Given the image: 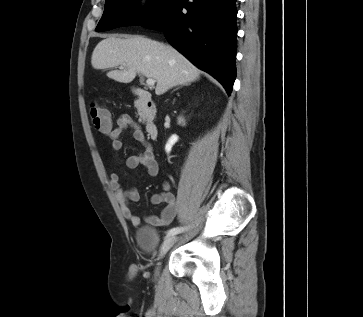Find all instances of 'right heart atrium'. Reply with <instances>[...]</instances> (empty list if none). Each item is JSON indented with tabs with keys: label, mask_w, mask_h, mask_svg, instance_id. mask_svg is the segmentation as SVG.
I'll use <instances>...</instances> for the list:
<instances>
[{
	"label": "right heart atrium",
	"mask_w": 363,
	"mask_h": 317,
	"mask_svg": "<svg viewBox=\"0 0 363 317\" xmlns=\"http://www.w3.org/2000/svg\"><path fill=\"white\" fill-rule=\"evenodd\" d=\"M151 6L150 0H134L133 7L140 12L148 10Z\"/></svg>",
	"instance_id": "d8ad5b80"
}]
</instances>
